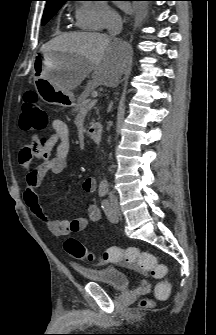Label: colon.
Here are the masks:
<instances>
[{"label": "colon", "instance_id": "5ec220e1", "mask_svg": "<svg viewBox=\"0 0 216 335\" xmlns=\"http://www.w3.org/2000/svg\"><path fill=\"white\" fill-rule=\"evenodd\" d=\"M48 123V116L40 106L39 98L33 91H28L23 96L22 114L20 117V127L25 131L43 130ZM66 252L75 259L93 261L94 254L75 238H68L64 243ZM103 261L107 263H125L133 265L137 269L148 272L159 279L156 285L155 294L158 298H166L171 290V283L167 279V268L158 263L157 258L149 252H143L136 247L119 248L109 247L103 254ZM142 305H147L142 301Z\"/></svg>", "mask_w": 216, "mask_h": 335}]
</instances>
